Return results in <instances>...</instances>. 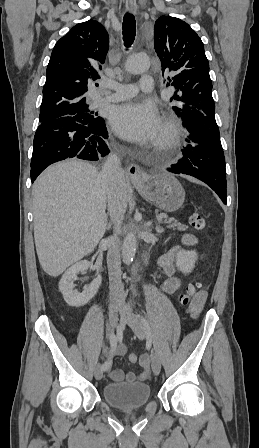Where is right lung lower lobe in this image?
<instances>
[{"label": "right lung lower lobe", "instance_id": "98d812e1", "mask_svg": "<svg viewBox=\"0 0 259 448\" xmlns=\"http://www.w3.org/2000/svg\"><path fill=\"white\" fill-rule=\"evenodd\" d=\"M107 138L103 118L92 124H83L67 116L40 124L33 141L32 182L57 161L72 157L96 161L106 156L110 152L104 141Z\"/></svg>", "mask_w": 259, "mask_h": 448}]
</instances>
